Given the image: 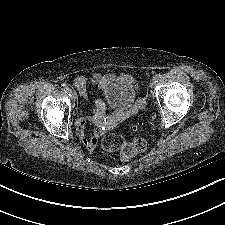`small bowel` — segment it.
<instances>
[{"instance_id":"small-bowel-1","label":"small bowel","mask_w":225,"mask_h":225,"mask_svg":"<svg viewBox=\"0 0 225 225\" xmlns=\"http://www.w3.org/2000/svg\"><path fill=\"white\" fill-rule=\"evenodd\" d=\"M115 78H116V76L113 74L103 75L100 73L93 74L90 79L83 77V76H79V77L75 78L74 86L78 89V91L83 96H86V91H87V87L89 84H93L102 89H105L108 86V84ZM121 79L125 82H128L132 86H136L134 80L127 75H122ZM103 111H104L103 103L100 100H97L96 106L94 109L93 120L97 121V122H101L102 116H103ZM86 119H87V116L83 112H80V114L76 120V125L78 127V131L80 133V136H81L82 141L85 144V146L89 149H93L96 146L97 135L101 129L97 128L93 135H88L85 130Z\"/></svg>"}]
</instances>
